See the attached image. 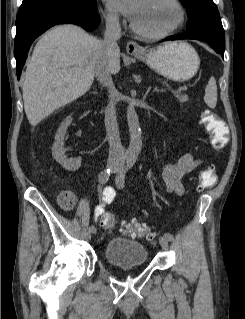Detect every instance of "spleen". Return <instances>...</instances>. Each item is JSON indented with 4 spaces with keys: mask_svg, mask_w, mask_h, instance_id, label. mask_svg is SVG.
Returning <instances> with one entry per match:
<instances>
[{
    "mask_svg": "<svg viewBox=\"0 0 245 319\" xmlns=\"http://www.w3.org/2000/svg\"><path fill=\"white\" fill-rule=\"evenodd\" d=\"M204 101L210 108L216 107L217 85H216V80L213 76L209 79L208 84L205 88Z\"/></svg>",
    "mask_w": 245,
    "mask_h": 319,
    "instance_id": "obj_1",
    "label": "spleen"
}]
</instances>
